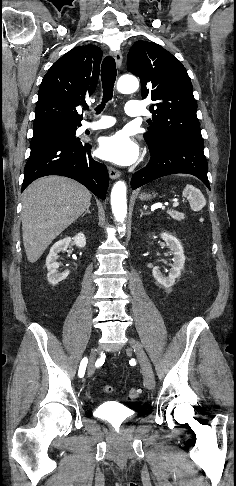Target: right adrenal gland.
Instances as JSON below:
<instances>
[{"label": "right adrenal gland", "mask_w": 236, "mask_h": 486, "mask_svg": "<svg viewBox=\"0 0 236 486\" xmlns=\"http://www.w3.org/2000/svg\"><path fill=\"white\" fill-rule=\"evenodd\" d=\"M87 213H89V214L91 213L89 208L86 209V211H85V213H83L82 217H84Z\"/></svg>", "instance_id": "right-adrenal-gland-1"}]
</instances>
